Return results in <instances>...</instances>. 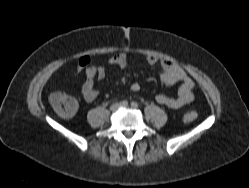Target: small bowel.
Instances as JSON below:
<instances>
[{
	"instance_id": "obj_1",
	"label": "small bowel",
	"mask_w": 249,
	"mask_h": 188,
	"mask_svg": "<svg viewBox=\"0 0 249 188\" xmlns=\"http://www.w3.org/2000/svg\"><path fill=\"white\" fill-rule=\"evenodd\" d=\"M145 61L150 65H159V79L163 86L170 87L181 82L176 97L165 94H158L156 101L170 109H178L194 100L195 84L186 71L174 62L165 59H159L155 55L146 54ZM108 63L121 69H127L130 66V56L128 53H118L111 56ZM78 66L85 72L86 80L82 87V94L87 102H93L98 97V90L94 86L95 79H104L106 69L103 66L92 65L89 58L83 57L79 60ZM133 91L140 89L139 84L134 83L131 86Z\"/></svg>"
}]
</instances>
